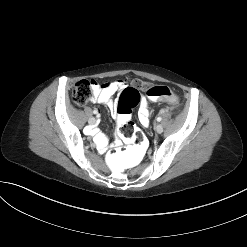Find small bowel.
Returning <instances> with one entry per match:
<instances>
[{"label": "small bowel", "mask_w": 247, "mask_h": 247, "mask_svg": "<svg viewBox=\"0 0 247 247\" xmlns=\"http://www.w3.org/2000/svg\"><path fill=\"white\" fill-rule=\"evenodd\" d=\"M127 86L126 82L123 80H116L113 82H108L103 85H100L96 82H93V93L91 97L92 102H97L99 104L108 106L114 116H117V103L113 100L114 95L125 89ZM138 120L141 125L144 127L149 125V110H148V102L144 96L140 98V108L138 110ZM90 134H92L95 138L97 146L101 152H104L107 148L108 141L100 132L96 130H91ZM120 142L116 141V145H119Z\"/></svg>", "instance_id": "small-bowel-1"}]
</instances>
